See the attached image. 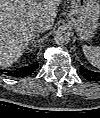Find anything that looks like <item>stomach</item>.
<instances>
[{
  "instance_id": "0dacf381",
  "label": "stomach",
  "mask_w": 100,
  "mask_h": 118,
  "mask_svg": "<svg viewBox=\"0 0 100 118\" xmlns=\"http://www.w3.org/2000/svg\"><path fill=\"white\" fill-rule=\"evenodd\" d=\"M98 0H71L68 20L82 41L90 40L99 26Z\"/></svg>"
}]
</instances>
